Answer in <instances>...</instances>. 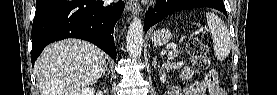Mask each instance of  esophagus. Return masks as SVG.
I'll return each mask as SVG.
<instances>
[{"label": "esophagus", "mask_w": 277, "mask_h": 95, "mask_svg": "<svg viewBox=\"0 0 277 95\" xmlns=\"http://www.w3.org/2000/svg\"><path fill=\"white\" fill-rule=\"evenodd\" d=\"M126 9L136 15L141 11L139 3L132 0L126 2Z\"/></svg>", "instance_id": "34e87169"}]
</instances>
